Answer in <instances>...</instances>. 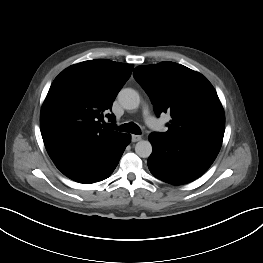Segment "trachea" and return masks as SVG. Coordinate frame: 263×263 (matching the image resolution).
<instances>
[{
	"mask_svg": "<svg viewBox=\"0 0 263 263\" xmlns=\"http://www.w3.org/2000/svg\"><path fill=\"white\" fill-rule=\"evenodd\" d=\"M118 131L130 132V133L136 134V135H140L141 134L139 126L137 124L133 123V122L125 123V124L121 125L118 128Z\"/></svg>",
	"mask_w": 263,
	"mask_h": 263,
	"instance_id": "obj_1",
	"label": "trachea"
}]
</instances>
